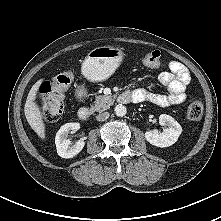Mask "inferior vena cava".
I'll return each instance as SVG.
<instances>
[{"label": "inferior vena cava", "instance_id": "inferior-vena-cava-1", "mask_svg": "<svg viewBox=\"0 0 221 221\" xmlns=\"http://www.w3.org/2000/svg\"><path fill=\"white\" fill-rule=\"evenodd\" d=\"M108 118H109V113L108 112H103V113L96 116L97 121H105Z\"/></svg>", "mask_w": 221, "mask_h": 221}]
</instances>
